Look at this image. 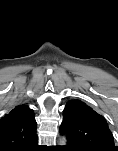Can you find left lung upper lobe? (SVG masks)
<instances>
[{
  "label": "left lung upper lobe",
  "instance_id": "5c2ea615",
  "mask_svg": "<svg viewBox=\"0 0 118 151\" xmlns=\"http://www.w3.org/2000/svg\"><path fill=\"white\" fill-rule=\"evenodd\" d=\"M60 132L80 151H118L106 119L80 100L67 102Z\"/></svg>",
  "mask_w": 118,
  "mask_h": 151
}]
</instances>
